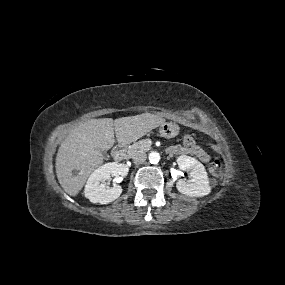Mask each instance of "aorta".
Segmentation results:
<instances>
[{
    "label": "aorta",
    "instance_id": "1",
    "mask_svg": "<svg viewBox=\"0 0 285 285\" xmlns=\"http://www.w3.org/2000/svg\"><path fill=\"white\" fill-rule=\"evenodd\" d=\"M149 161L152 164H157L160 161V154L158 152H151L149 154Z\"/></svg>",
    "mask_w": 285,
    "mask_h": 285
}]
</instances>
